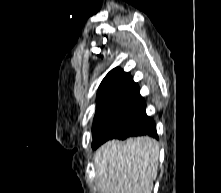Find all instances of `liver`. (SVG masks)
I'll return each mask as SVG.
<instances>
[{
	"label": "liver",
	"instance_id": "liver-1",
	"mask_svg": "<svg viewBox=\"0 0 221 193\" xmlns=\"http://www.w3.org/2000/svg\"><path fill=\"white\" fill-rule=\"evenodd\" d=\"M159 145L148 137L108 141L94 155L101 193H151L157 177Z\"/></svg>",
	"mask_w": 221,
	"mask_h": 193
}]
</instances>
